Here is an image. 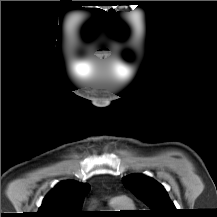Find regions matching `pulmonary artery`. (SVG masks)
Listing matches in <instances>:
<instances>
[{"label":"pulmonary artery","instance_id":"e3ab8cb5","mask_svg":"<svg viewBox=\"0 0 217 217\" xmlns=\"http://www.w3.org/2000/svg\"><path fill=\"white\" fill-rule=\"evenodd\" d=\"M123 200H125L124 197H122V196H116L112 201H123Z\"/></svg>","mask_w":217,"mask_h":217}]
</instances>
